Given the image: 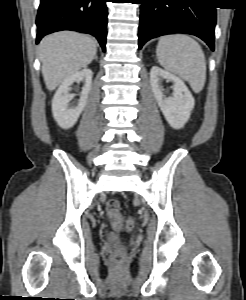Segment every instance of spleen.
Wrapping results in <instances>:
<instances>
[{"label":"spleen","mask_w":246,"mask_h":300,"mask_svg":"<svg viewBox=\"0 0 246 300\" xmlns=\"http://www.w3.org/2000/svg\"><path fill=\"white\" fill-rule=\"evenodd\" d=\"M156 55L164 69L188 81L195 93L203 89L206 61L197 41L185 34L163 36L158 42Z\"/></svg>","instance_id":"1"}]
</instances>
